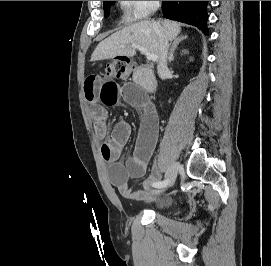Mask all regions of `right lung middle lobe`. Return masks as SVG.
<instances>
[{
	"mask_svg": "<svg viewBox=\"0 0 271 266\" xmlns=\"http://www.w3.org/2000/svg\"><path fill=\"white\" fill-rule=\"evenodd\" d=\"M114 1H104V13L105 16H108L109 13V9L111 7V5L113 4Z\"/></svg>",
	"mask_w": 271,
	"mask_h": 266,
	"instance_id": "1",
	"label": "right lung middle lobe"
}]
</instances>
